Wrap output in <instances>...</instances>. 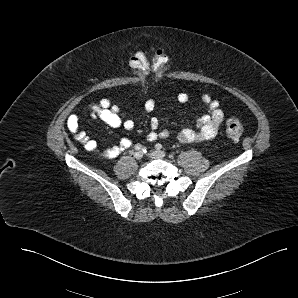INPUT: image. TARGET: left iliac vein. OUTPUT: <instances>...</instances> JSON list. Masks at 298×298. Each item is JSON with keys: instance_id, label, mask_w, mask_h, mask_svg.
<instances>
[{"instance_id": "left-iliac-vein-1", "label": "left iliac vein", "mask_w": 298, "mask_h": 298, "mask_svg": "<svg viewBox=\"0 0 298 298\" xmlns=\"http://www.w3.org/2000/svg\"><path fill=\"white\" fill-rule=\"evenodd\" d=\"M150 156L155 159H162L166 156V154L163 151L155 150L152 153H150Z\"/></svg>"}]
</instances>
